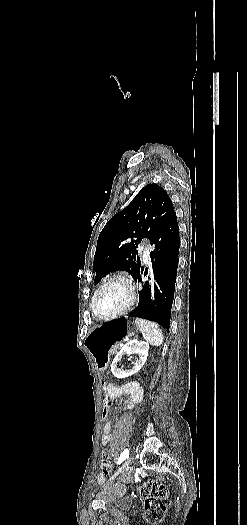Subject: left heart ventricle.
<instances>
[{"label": "left heart ventricle", "instance_id": "1", "mask_svg": "<svg viewBox=\"0 0 247 525\" xmlns=\"http://www.w3.org/2000/svg\"><path fill=\"white\" fill-rule=\"evenodd\" d=\"M130 296L128 284L122 280H112L99 290L96 307L102 312L113 311L122 306Z\"/></svg>", "mask_w": 247, "mask_h": 525}]
</instances>
